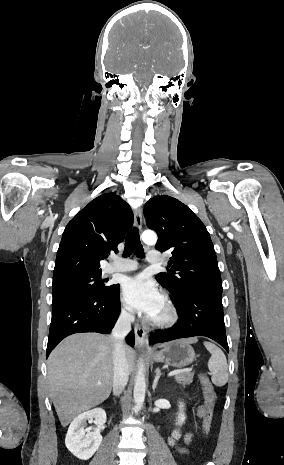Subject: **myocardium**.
Returning <instances> with one entry per match:
<instances>
[{"instance_id":"f54148a6","label":"myocardium","mask_w":284,"mask_h":465,"mask_svg":"<svg viewBox=\"0 0 284 465\" xmlns=\"http://www.w3.org/2000/svg\"><path fill=\"white\" fill-rule=\"evenodd\" d=\"M162 305H163L164 310H165V317L162 318V319L149 317L148 321H149V323L151 325H153V326H155L157 328H161V329L170 328L173 325H175V323L178 320L177 310L174 307L172 301L167 297L163 298Z\"/></svg>"}]
</instances>
